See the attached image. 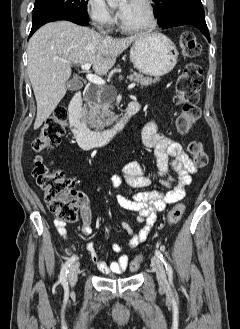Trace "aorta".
<instances>
[{
  "instance_id": "1",
  "label": "aorta",
  "mask_w": 240,
  "mask_h": 329,
  "mask_svg": "<svg viewBox=\"0 0 240 329\" xmlns=\"http://www.w3.org/2000/svg\"><path fill=\"white\" fill-rule=\"evenodd\" d=\"M125 0H107L110 7H116L118 4L124 2Z\"/></svg>"
}]
</instances>
